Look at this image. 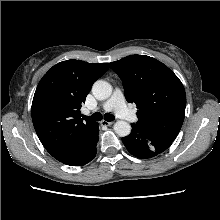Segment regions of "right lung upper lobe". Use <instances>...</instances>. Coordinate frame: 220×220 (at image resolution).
Instances as JSON below:
<instances>
[{"mask_svg":"<svg viewBox=\"0 0 220 220\" xmlns=\"http://www.w3.org/2000/svg\"><path fill=\"white\" fill-rule=\"evenodd\" d=\"M108 63L67 60L54 65L40 80L32 102V121L45 149L57 160L69 155L98 123L83 122L80 107Z\"/></svg>","mask_w":220,"mask_h":220,"instance_id":"1","label":"right lung upper lobe"}]
</instances>
